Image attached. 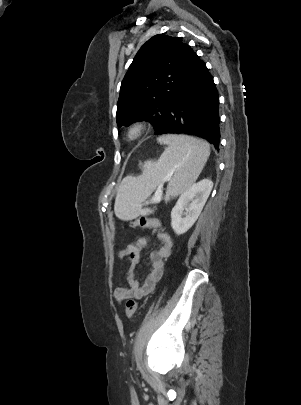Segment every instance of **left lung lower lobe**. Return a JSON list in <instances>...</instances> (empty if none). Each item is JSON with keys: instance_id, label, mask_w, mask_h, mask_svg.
<instances>
[{"instance_id": "1", "label": "left lung lower lobe", "mask_w": 301, "mask_h": 405, "mask_svg": "<svg viewBox=\"0 0 301 405\" xmlns=\"http://www.w3.org/2000/svg\"><path fill=\"white\" fill-rule=\"evenodd\" d=\"M219 96L205 63L195 53L156 135L183 134L220 144Z\"/></svg>"}]
</instances>
